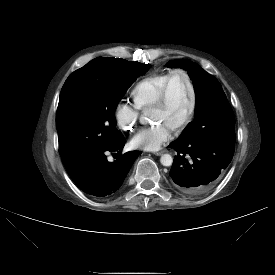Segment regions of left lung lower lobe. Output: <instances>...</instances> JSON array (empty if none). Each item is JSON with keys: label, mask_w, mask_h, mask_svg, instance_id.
<instances>
[{"label": "left lung lower lobe", "mask_w": 275, "mask_h": 275, "mask_svg": "<svg viewBox=\"0 0 275 275\" xmlns=\"http://www.w3.org/2000/svg\"><path fill=\"white\" fill-rule=\"evenodd\" d=\"M177 155L170 171L173 186L187 195L210 190L227 168L234 154V142L224 138L173 141Z\"/></svg>", "instance_id": "0a47b994"}]
</instances>
